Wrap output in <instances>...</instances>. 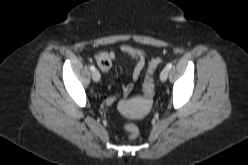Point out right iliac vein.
I'll use <instances>...</instances> for the list:
<instances>
[{
    "instance_id": "obj_1",
    "label": "right iliac vein",
    "mask_w": 248,
    "mask_h": 165,
    "mask_svg": "<svg viewBox=\"0 0 248 165\" xmlns=\"http://www.w3.org/2000/svg\"><path fill=\"white\" fill-rule=\"evenodd\" d=\"M100 73L99 71L95 70L93 71L92 73V79L95 81V82H98L100 80Z\"/></svg>"
}]
</instances>
